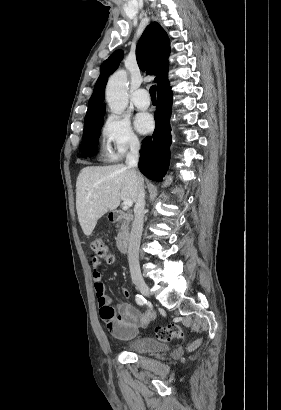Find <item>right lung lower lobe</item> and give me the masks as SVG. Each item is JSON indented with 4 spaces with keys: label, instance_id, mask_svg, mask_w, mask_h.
Listing matches in <instances>:
<instances>
[{
    "label": "right lung lower lobe",
    "instance_id": "98d812e1",
    "mask_svg": "<svg viewBox=\"0 0 281 410\" xmlns=\"http://www.w3.org/2000/svg\"><path fill=\"white\" fill-rule=\"evenodd\" d=\"M172 96L173 93L169 85L158 90L157 109L154 114L156 127L153 135L143 140L140 152V171L149 179L158 182L162 181L169 164Z\"/></svg>",
    "mask_w": 281,
    "mask_h": 410
}]
</instances>
